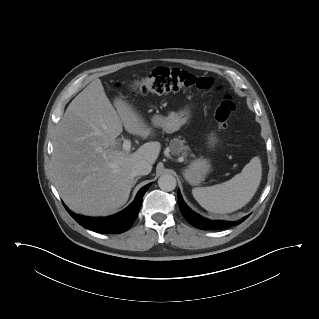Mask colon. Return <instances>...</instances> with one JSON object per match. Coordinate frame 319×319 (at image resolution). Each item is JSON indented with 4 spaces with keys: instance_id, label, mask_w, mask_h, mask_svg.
I'll return each mask as SVG.
<instances>
[{
    "instance_id": "5ec220e1",
    "label": "colon",
    "mask_w": 319,
    "mask_h": 319,
    "mask_svg": "<svg viewBox=\"0 0 319 319\" xmlns=\"http://www.w3.org/2000/svg\"><path fill=\"white\" fill-rule=\"evenodd\" d=\"M213 85L210 77H199L178 68L157 67L150 73L136 80L130 87L134 94H164L185 92L192 89L207 90ZM232 98L225 95L215 112V118L221 132H225L228 121L234 112Z\"/></svg>"
}]
</instances>
